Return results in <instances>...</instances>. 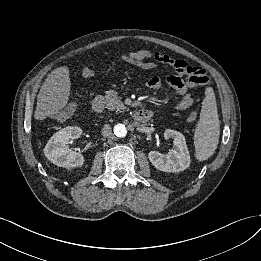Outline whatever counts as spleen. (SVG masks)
I'll return each mask as SVG.
<instances>
[{
	"label": "spleen",
	"instance_id": "obj_1",
	"mask_svg": "<svg viewBox=\"0 0 261 261\" xmlns=\"http://www.w3.org/2000/svg\"><path fill=\"white\" fill-rule=\"evenodd\" d=\"M220 121L218 117L216 98L212 88L205 90L200 119L194 134L196 158L199 161L211 157L219 142Z\"/></svg>",
	"mask_w": 261,
	"mask_h": 261
}]
</instances>
